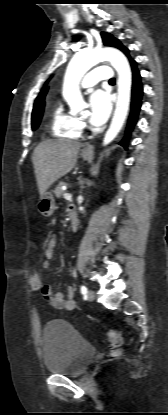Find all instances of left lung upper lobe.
<instances>
[{"label":"left lung upper lobe","mask_w":168,"mask_h":415,"mask_svg":"<svg viewBox=\"0 0 168 415\" xmlns=\"http://www.w3.org/2000/svg\"><path fill=\"white\" fill-rule=\"evenodd\" d=\"M102 36V40L104 45L106 46H111V47H116L118 49H120L121 51H123L128 57L129 56V50L127 48H125L119 40L115 39L112 35H110L109 33H105L102 32L101 33Z\"/></svg>","instance_id":"1"}]
</instances>
